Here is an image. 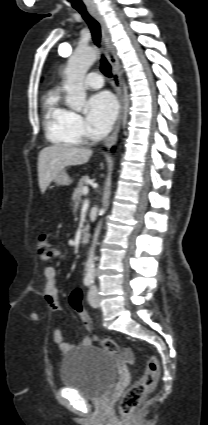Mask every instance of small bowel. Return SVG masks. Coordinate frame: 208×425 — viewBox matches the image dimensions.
<instances>
[{
  "label": "small bowel",
  "instance_id": "c3829d8e",
  "mask_svg": "<svg viewBox=\"0 0 208 425\" xmlns=\"http://www.w3.org/2000/svg\"><path fill=\"white\" fill-rule=\"evenodd\" d=\"M60 255L59 251H54L52 254L46 255L41 254L40 260L42 262H48L52 257H57ZM44 277L46 280L44 294L45 300L52 312L61 311V306L59 304V288L57 283V273L55 268L47 266L44 269ZM53 339L57 346L63 351L68 352L72 349V345L67 343L63 337V334L59 327H55L53 332ZM83 345H88L90 343L89 338H84L81 342Z\"/></svg>",
  "mask_w": 208,
  "mask_h": 425
}]
</instances>
